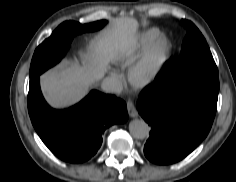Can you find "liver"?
<instances>
[{"instance_id":"liver-1","label":"liver","mask_w":236,"mask_h":182,"mask_svg":"<svg viewBox=\"0 0 236 182\" xmlns=\"http://www.w3.org/2000/svg\"><path fill=\"white\" fill-rule=\"evenodd\" d=\"M136 28L134 19L115 20L112 28L97 36L89 46L86 66H65L43 74L41 87L49 104L63 108L81 100L103 78L109 63L130 48Z\"/></svg>"}]
</instances>
